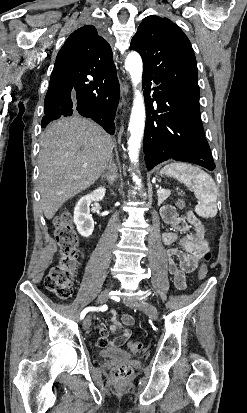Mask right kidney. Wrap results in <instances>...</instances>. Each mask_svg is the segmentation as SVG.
I'll list each match as a JSON object with an SVG mask.
<instances>
[{
    "label": "right kidney",
    "mask_w": 247,
    "mask_h": 413,
    "mask_svg": "<svg viewBox=\"0 0 247 413\" xmlns=\"http://www.w3.org/2000/svg\"><path fill=\"white\" fill-rule=\"evenodd\" d=\"M106 188L104 186H99L95 188L90 194H85L79 198L76 207L74 209V223L77 227L78 233L82 237H90L94 231V221L90 215V204L91 202H97V200H102L104 198Z\"/></svg>",
    "instance_id": "obj_1"
}]
</instances>
